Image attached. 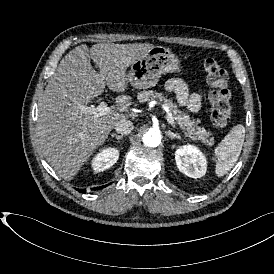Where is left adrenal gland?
<instances>
[{"label": "left adrenal gland", "instance_id": "1", "mask_svg": "<svg viewBox=\"0 0 274 274\" xmlns=\"http://www.w3.org/2000/svg\"><path fill=\"white\" fill-rule=\"evenodd\" d=\"M167 135L168 137L171 139V140H175V139H178V140H181V137L177 134H174L173 132L171 131H168L167 132Z\"/></svg>", "mask_w": 274, "mask_h": 274}]
</instances>
